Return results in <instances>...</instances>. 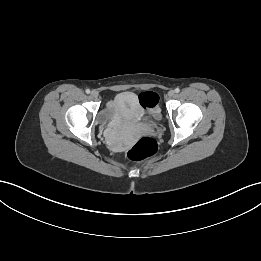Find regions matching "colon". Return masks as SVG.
I'll return each mask as SVG.
<instances>
[{
	"label": "colon",
	"mask_w": 261,
	"mask_h": 261,
	"mask_svg": "<svg viewBox=\"0 0 261 261\" xmlns=\"http://www.w3.org/2000/svg\"><path fill=\"white\" fill-rule=\"evenodd\" d=\"M139 108L145 111V117L148 120H160L162 113L158 108L162 103V96L157 91H143L137 98ZM158 145L155 139L143 137L139 139L127 152L129 159L133 161H142L152 158L156 155Z\"/></svg>",
	"instance_id": "5ec220e1"
}]
</instances>
